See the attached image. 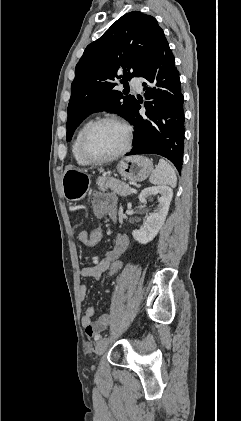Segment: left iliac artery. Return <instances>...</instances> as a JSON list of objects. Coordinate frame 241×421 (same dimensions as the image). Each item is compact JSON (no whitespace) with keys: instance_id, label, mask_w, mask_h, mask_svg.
I'll return each instance as SVG.
<instances>
[{"instance_id":"44dca946","label":"left iliac artery","mask_w":241,"mask_h":421,"mask_svg":"<svg viewBox=\"0 0 241 421\" xmlns=\"http://www.w3.org/2000/svg\"><path fill=\"white\" fill-rule=\"evenodd\" d=\"M100 338H101V336H100V335H98V336H96V337H95V339H96V340H98V339H100Z\"/></svg>"}]
</instances>
